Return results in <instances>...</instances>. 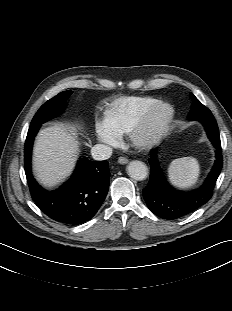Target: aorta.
<instances>
[{"label":"aorta","instance_id":"aorta-1","mask_svg":"<svg viewBox=\"0 0 232 311\" xmlns=\"http://www.w3.org/2000/svg\"><path fill=\"white\" fill-rule=\"evenodd\" d=\"M128 175L138 181L144 180L148 175V168L144 162L135 160L127 166Z\"/></svg>","mask_w":232,"mask_h":311}]
</instances>
